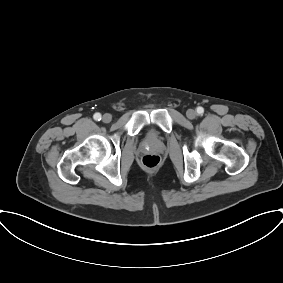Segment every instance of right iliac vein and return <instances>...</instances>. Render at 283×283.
I'll list each match as a JSON object with an SVG mask.
<instances>
[{"label": "right iliac vein", "mask_w": 283, "mask_h": 283, "mask_svg": "<svg viewBox=\"0 0 283 283\" xmlns=\"http://www.w3.org/2000/svg\"><path fill=\"white\" fill-rule=\"evenodd\" d=\"M111 120H112V116L108 113H106L102 116V121L104 123H109Z\"/></svg>", "instance_id": "right-iliac-vein-1"}]
</instances>
